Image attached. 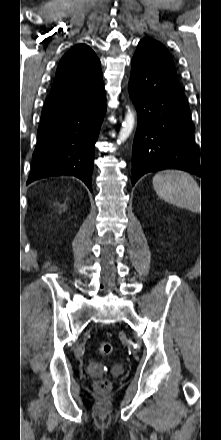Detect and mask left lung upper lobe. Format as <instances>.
<instances>
[{
	"mask_svg": "<svg viewBox=\"0 0 221 440\" xmlns=\"http://www.w3.org/2000/svg\"><path fill=\"white\" fill-rule=\"evenodd\" d=\"M136 51L142 53L153 66L177 78L175 66L169 51L158 41L151 38H144L139 42Z\"/></svg>",
	"mask_w": 221,
	"mask_h": 440,
	"instance_id": "left-lung-upper-lobe-1",
	"label": "left lung upper lobe"
}]
</instances>
